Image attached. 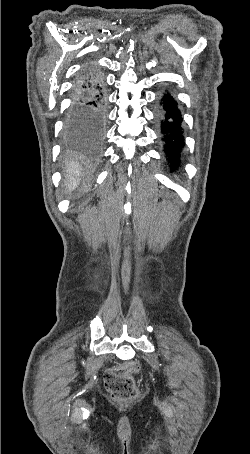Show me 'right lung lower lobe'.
Instances as JSON below:
<instances>
[{
  "instance_id": "obj_1",
  "label": "right lung lower lobe",
  "mask_w": 250,
  "mask_h": 454,
  "mask_svg": "<svg viewBox=\"0 0 250 454\" xmlns=\"http://www.w3.org/2000/svg\"><path fill=\"white\" fill-rule=\"evenodd\" d=\"M107 119L105 81L99 68L85 64L78 72L72 93L67 125L77 140L85 145L100 146Z\"/></svg>"
}]
</instances>
